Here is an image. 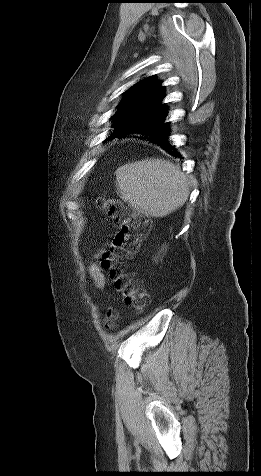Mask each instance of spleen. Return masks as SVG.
Wrapping results in <instances>:
<instances>
[{"label": "spleen", "instance_id": "spleen-1", "mask_svg": "<svg viewBox=\"0 0 261 476\" xmlns=\"http://www.w3.org/2000/svg\"><path fill=\"white\" fill-rule=\"evenodd\" d=\"M115 174L120 198L146 216L165 217L188 200V178L169 160L150 158L127 163Z\"/></svg>", "mask_w": 261, "mask_h": 476}]
</instances>
